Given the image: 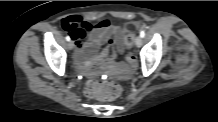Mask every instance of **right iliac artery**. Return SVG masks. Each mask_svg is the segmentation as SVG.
<instances>
[{
    "label": "right iliac artery",
    "instance_id": "1",
    "mask_svg": "<svg viewBox=\"0 0 218 122\" xmlns=\"http://www.w3.org/2000/svg\"><path fill=\"white\" fill-rule=\"evenodd\" d=\"M66 40H67V41H70V36L67 35V36H66Z\"/></svg>",
    "mask_w": 218,
    "mask_h": 122
}]
</instances>
